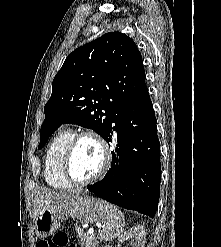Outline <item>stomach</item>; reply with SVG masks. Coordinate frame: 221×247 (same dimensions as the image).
I'll list each match as a JSON object with an SVG mask.
<instances>
[{"label": "stomach", "mask_w": 221, "mask_h": 247, "mask_svg": "<svg viewBox=\"0 0 221 247\" xmlns=\"http://www.w3.org/2000/svg\"><path fill=\"white\" fill-rule=\"evenodd\" d=\"M106 202L88 195H78L52 208L43 207L35 217V231L38 236L53 234L62 220L71 217L81 223H96L106 218Z\"/></svg>", "instance_id": "stomach-1"}]
</instances>
